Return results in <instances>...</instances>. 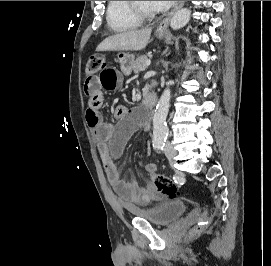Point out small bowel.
I'll return each mask as SVG.
<instances>
[{
  "mask_svg": "<svg viewBox=\"0 0 271 266\" xmlns=\"http://www.w3.org/2000/svg\"><path fill=\"white\" fill-rule=\"evenodd\" d=\"M122 77L119 67L108 63L97 74L87 77L84 84V92L88 97L86 121L102 149L104 171L114 192L129 207L150 206L160 203L164 196L152 185L142 187L134 179H123L116 162L130 136L143 126L140 110L117 106L114 116L118 123L115 125L105 122L100 113L103 103L102 90L117 89ZM145 168L149 173L156 172L155 166L151 163Z\"/></svg>",
  "mask_w": 271,
  "mask_h": 266,
  "instance_id": "1",
  "label": "small bowel"
}]
</instances>
